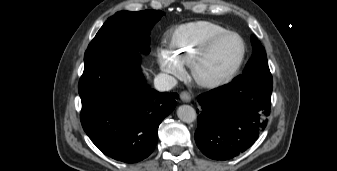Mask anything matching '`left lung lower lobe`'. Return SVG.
<instances>
[{
    "instance_id": "1",
    "label": "left lung lower lobe",
    "mask_w": 337,
    "mask_h": 171,
    "mask_svg": "<svg viewBox=\"0 0 337 171\" xmlns=\"http://www.w3.org/2000/svg\"><path fill=\"white\" fill-rule=\"evenodd\" d=\"M271 94L272 81L246 78L199 95V149L221 161L247 150L266 127Z\"/></svg>"
}]
</instances>
